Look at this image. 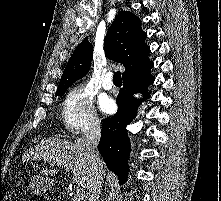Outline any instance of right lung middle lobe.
Here are the masks:
<instances>
[{"instance_id": "obj_1", "label": "right lung middle lobe", "mask_w": 221, "mask_h": 201, "mask_svg": "<svg viewBox=\"0 0 221 201\" xmlns=\"http://www.w3.org/2000/svg\"><path fill=\"white\" fill-rule=\"evenodd\" d=\"M64 93H65V91H62V92L56 93V95H57V96H63Z\"/></svg>"}]
</instances>
